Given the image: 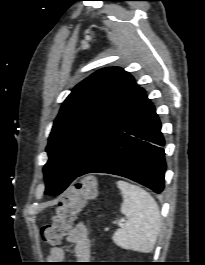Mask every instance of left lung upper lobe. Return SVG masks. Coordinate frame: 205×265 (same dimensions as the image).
I'll return each instance as SVG.
<instances>
[{"mask_svg":"<svg viewBox=\"0 0 205 265\" xmlns=\"http://www.w3.org/2000/svg\"><path fill=\"white\" fill-rule=\"evenodd\" d=\"M145 95L119 67L98 70L74 87L54 121L43 168L46 194L58 195L124 124Z\"/></svg>","mask_w":205,"mask_h":265,"instance_id":"obj_1","label":"left lung upper lobe"}]
</instances>
